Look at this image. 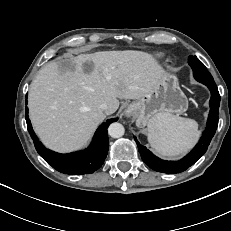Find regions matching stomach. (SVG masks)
<instances>
[{
    "instance_id": "obj_1",
    "label": "stomach",
    "mask_w": 231,
    "mask_h": 231,
    "mask_svg": "<svg viewBox=\"0 0 231 231\" xmlns=\"http://www.w3.org/2000/svg\"><path fill=\"white\" fill-rule=\"evenodd\" d=\"M187 106V98L179 87L177 77L165 73L152 92L132 102L129 108L134 111L136 125L143 127L163 114H181Z\"/></svg>"
}]
</instances>
